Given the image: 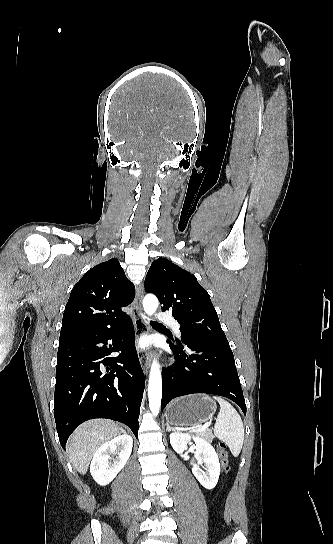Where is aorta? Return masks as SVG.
Segmentation results:
<instances>
[{
  "mask_svg": "<svg viewBox=\"0 0 333 544\" xmlns=\"http://www.w3.org/2000/svg\"><path fill=\"white\" fill-rule=\"evenodd\" d=\"M159 301L155 295L147 294L143 299V308L147 315L152 316L157 310ZM162 398V376L160 365L157 360H154L151 365L149 383H148V399L149 408L154 416H157L160 411Z\"/></svg>",
  "mask_w": 333,
  "mask_h": 544,
  "instance_id": "aorta-1",
  "label": "aorta"
}]
</instances>
